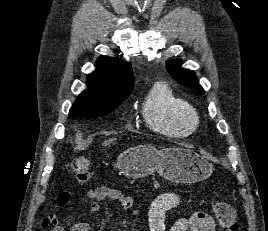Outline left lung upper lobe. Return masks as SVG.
<instances>
[{
	"instance_id": "obj_1",
	"label": "left lung upper lobe",
	"mask_w": 268,
	"mask_h": 231,
	"mask_svg": "<svg viewBox=\"0 0 268 231\" xmlns=\"http://www.w3.org/2000/svg\"><path fill=\"white\" fill-rule=\"evenodd\" d=\"M180 65L181 60H171L166 62V69L171 77L184 86L194 87L199 93H204L203 88L198 83L195 73L191 70L182 69Z\"/></svg>"
}]
</instances>
